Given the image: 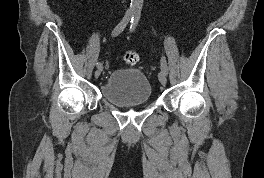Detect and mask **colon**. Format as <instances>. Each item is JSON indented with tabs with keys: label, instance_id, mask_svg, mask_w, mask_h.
Segmentation results:
<instances>
[{
	"label": "colon",
	"instance_id": "5ec220e1",
	"mask_svg": "<svg viewBox=\"0 0 264 178\" xmlns=\"http://www.w3.org/2000/svg\"><path fill=\"white\" fill-rule=\"evenodd\" d=\"M123 60L127 65L134 66L139 61V56L135 51H127L123 55Z\"/></svg>",
	"mask_w": 264,
	"mask_h": 178
}]
</instances>
